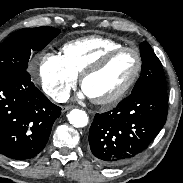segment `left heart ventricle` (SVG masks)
<instances>
[{"mask_svg": "<svg viewBox=\"0 0 183 183\" xmlns=\"http://www.w3.org/2000/svg\"><path fill=\"white\" fill-rule=\"evenodd\" d=\"M136 57L132 52L117 54L101 71L88 77L83 89L93 98L109 97L122 89L133 75Z\"/></svg>", "mask_w": 183, "mask_h": 183, "instance_id": "1", "label": "left heart ventricle"}]
</instances>
